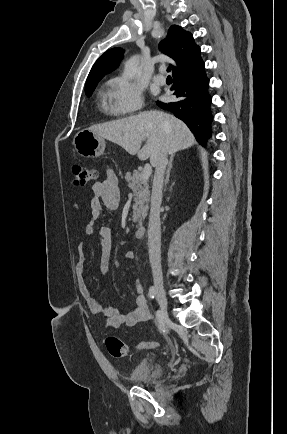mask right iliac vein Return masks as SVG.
Segmentation results:
<instances>
[{"label":"right iliac vein","instance_id":"right-iliac-vein-1","mask_svg":"<svg viewBox=\"0 0 287 434\" xmlns=\"http://www.w3.org/2000/svg\"><path fill=\"white\" fill-rule=\"evenodd\" d=\"M154 287H155V296L160 307L162 320L164 323H169L170 320L167 312L168 301L163 289V285L161 282L156 281Z\"/></svg>","mask_w":287,"mask_h":434}]
</instances>
